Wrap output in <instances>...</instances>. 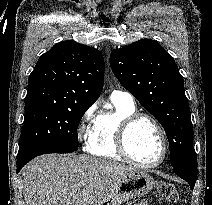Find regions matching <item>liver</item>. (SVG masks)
Wrapping results in <instances>:
<instances>
[{"instance_id": "6515ba94", "label": "liver", "mask_w": 212, "mask_h": 205, "mask_svg": "<svg viewBox=\"0 0 212 205\" xmlns=\"http://www.w3.org/2000/svg\"><path fill=\"white\" fill-rule=\"evenodd\" d=\"M132 170L91 156L43 155L22 169L25 203L96 205L114 181Z\"/></svg>"}]
</instances>
